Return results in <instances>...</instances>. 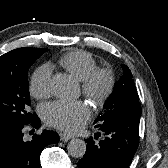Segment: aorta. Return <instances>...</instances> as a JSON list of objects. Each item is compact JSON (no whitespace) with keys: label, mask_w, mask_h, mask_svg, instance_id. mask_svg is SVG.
<instances>
[{"label":"aorta","mask_w":168,"mask_h":168,"mask_svg":"<svg viewBox=\"0 0 168 168\" xmlns=\"http://www.w3.org/2000/svg\"><path fill=\"white\" fill-rule=\"evenodd\" d=\"M77 89L76 82L67 74H57L51 82V90L59 98L72 97ZM68 153L74 158H82L86 152V143L78 138L69 141Z\"/></svg>","instance_id":"obj_1"}]
</instances>
